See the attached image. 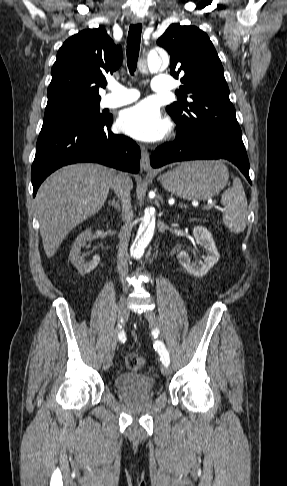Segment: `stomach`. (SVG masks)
Returning <instances> with one entry per match:
<instances>
[{"mask_svg": "<svg viewBox=\"0 0 287 486\" xmlns=\"http://www.w3.org/2000/svg\"><path fill=\"white\" fill-rule=\"evenodd\" d=\"M229 174L219 161H189L159 176L163 188L187 200H205L217 195Z\"/></svg>", "mask_w": 287, "mask_h": 486, "instance_id": "0dacf381", "label": "stomach"}]
</instances>
